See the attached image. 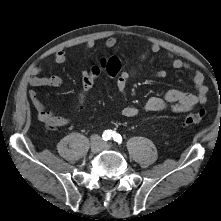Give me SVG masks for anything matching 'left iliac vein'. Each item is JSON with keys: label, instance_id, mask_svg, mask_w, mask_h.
<instances>
[{"label": "left iliac vein", "instance_id": "obj_1", "mask_svg": "<svg viewBox=\"0 0 221 221\" xmlns=\"http://www.w3.org/2000/svg\"><path fill=\"white\" fill-rule=\"evenodd\" d=\"M104 148L110 149V148H111V145H110V144H104Z\"/></svg>", "mask_w": 221, "mask_h": 221}]
</instances>
